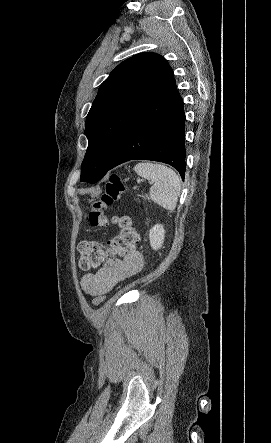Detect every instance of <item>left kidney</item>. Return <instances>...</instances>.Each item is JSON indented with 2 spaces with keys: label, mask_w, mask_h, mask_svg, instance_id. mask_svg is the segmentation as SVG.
<instances>
[{
  "label": "left kidney",
  "mask_w": 271,
  "mask_h": 443,
  "mask_svg": "<svg viewBox=\"0 0 271 443\" xmlns=\"http://www.w3.org/2000/svg\"><path fill=\"white\" fill-rule=\"evenodd\" d=\"M164 233L165 229L161 223H156V225H153L152 229H150L149 239L153 249H159V247H161L165 237Z\"/></svg>",
  "instance_id": "obj_1"
}]
</instances>
